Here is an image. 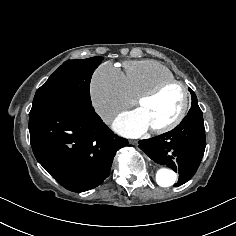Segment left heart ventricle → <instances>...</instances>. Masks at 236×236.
Wrapping results in <instances>:
<instances>
[{"instance_id":"left-heart-ventricle-1","label":"left heart ventricle","mask_w":236,"mask_h":236,"mask_svg":"<svg viewBox=\"0 0 236 236\" xmlns=\"http://www.w3.org/2000/svg\"><path fill=\"white\" fill-rule=\"evenodd\" d=\"M183 94L179 87L171 86L153 99L139 106L149 128H158L172 122L180 113Z\"/></svg>"}]
</instances>
